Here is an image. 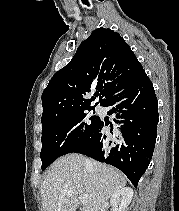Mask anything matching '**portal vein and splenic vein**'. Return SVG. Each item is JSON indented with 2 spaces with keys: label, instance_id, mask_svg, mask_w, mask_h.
<instances>
[{
  "label": "portal vein and splenic vein",
  "instance_id": "portal-vein-and-splenic-vein-1",
  "mask_svg": "<svg viewBox=\"0 0 179 211\" xmlns=\"http://www.w3.org/2000/svg\"><path fill=\"white\" fill-rule=\"evenodd\" d=\"M86 199H87V196H85V195H80V196H79V201H80L82 204L85 203Z\"/></svg>",
  "mask_w": 179,
  "mask_h": 211
}]
</instances>
